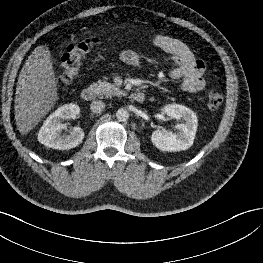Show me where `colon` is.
I'll list each match as a JSON object with an SVG mask.
<instances>
[{"label":"colon","instance_id":"1","mask_svg":"<svg viewBox=\"0 0 263 263\" xmlns=\"http://www.w3.org/2000/svg\"><path fill=\"white\" fill-rule=\"evenodd\" d=\"M98 42V38L89 37L73 40L66 48L61 59V73L58 78V85L61 88L67 87L72 78L79 72L83 59L87 52ZM223 94L217 89H212L207 95L209 109H218L223 102Z\"/></svg>","mask_w":263,"mask_h":263}]
</instances>
